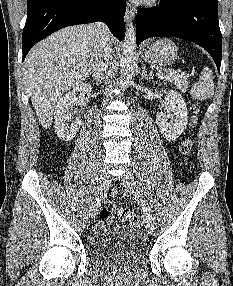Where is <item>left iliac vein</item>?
Masks as SVG:
<instances>
[{
  "mask_svg": "<svg viewBox=\"0 0 233 286\" xmlns=\"http://www.w3.org/2000/svg\"><path fill=\"white\" fill-rule=\"evenodd\" d=\"M121 184L123 187L131 194L137 195V187H136V182L134 179L133 174L128 171L124 173L120 178H119ZM143 220L145 224V228L149 233L153 232V222L151 219V215L148 213L147 209L144 207L143 208Z\"/></svg>",
  "mask_w": 233,
  "mask_h": 286,
  "instance_id": "4c4485c4",
  "label": "left iliac vein"
}]
</instances>
